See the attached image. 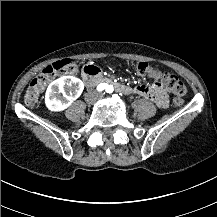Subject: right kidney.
I'll list each match as a JSON object with an SVG mask.
<instances>
[{
    "mask_svg": "<svg viewBox=\"0 0 217 217\" xmlns=\"http://www.w3.org/2000/svg\"><path fill=\"white\" fill-rule=\"evenodd\" d=\"M65 89L71 91L73 96L61 98L60 93H63ZM83 90L84 84L79 78L73 75L62 76L48 86L45 93V106L52 112L64 111L80 97Z\"/></svg>",
    "mask_w": 217,
    "mask_h": 217,
    "instance_id": "right-kidney-1",
    "label": "right kidney"
}]
</instances>
